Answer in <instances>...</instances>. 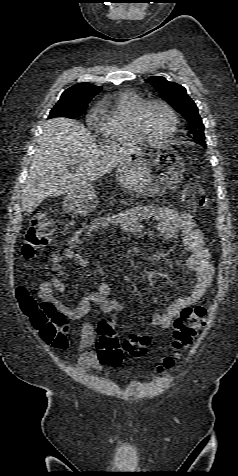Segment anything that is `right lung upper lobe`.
Segmentation results:
<instances>
[{
    "label": "right lung upper lobe",
    "mask_w": 238,
    "mask_h": 476,
    "mask_svg": "<svg viewBox=\"0 0 238 476\" xmlns=\"http://www.w3.org/2000/svg\"><path fill=\"white\" fill-rule=\"evenodd\" d=\"M100 90V86L88 82L78 83L65 90L62 93L60 100H69L75 103L88 105L91 99L99 93Z\"/></svg>",
    "instance_id": "obj_1"
}]
</instances>
